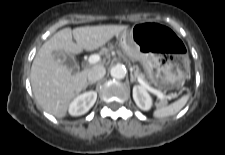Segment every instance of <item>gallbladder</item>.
<instances>
[{"label":"gallbladder","instance_id":"obj_1","mask_svg":"<svg viewBox=\"0 0 225 155\" xmlns=\"http://www.w3.org/2000/svg\"><path fill=\"white\" fill-rule=\"evenodd\" d=\"M53 55L56 60L65 65L69 70L72 72L77 71V61L73 56L68 55L63 51H54Z\"/></svg>","mask_w":225,"mask_h":155}]
</instances>
